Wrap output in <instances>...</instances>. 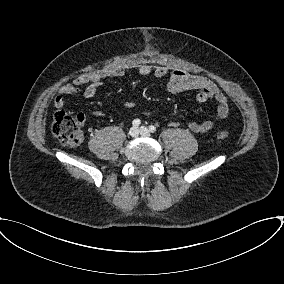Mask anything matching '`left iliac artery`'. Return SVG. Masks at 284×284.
I'll use <instances>...</instances> for the list:
<instances>
[{
    "label": "left iliac artery",
    "instance_id": "obj_1",
    "mask_svg": "<svg viewBox=\"0 0 284 284\" xmlns=\"http://www.w3.org/2000/svg\"><path fill=\"white\" fill-rule=\"evenodd\" d=\"M149 131H150L151 133H154V132L156 131L155 126H153V125L149 126Z\"/></svg>",
    "mask_w": 284,
    "mask_h": 284
}]
</instances>
